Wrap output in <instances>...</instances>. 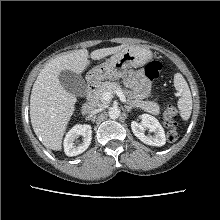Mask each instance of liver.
I'll list each match as a JSON object with an SVG mask.
<instances>
[{
    "label": "liver",
    "mask_w": 220,
    "mask_h": 220,
    "mask_svg": "<svg viewBox=\"0 0 220 220\" xmlns=\"http://www.w3.org/2000/svg\"><path fill=\"white\" fill-rule=\"evenodd\" d=\"M127 45L102 48L91 52L93 60H99L119 52ZM87 49H80L50 61L38 74L30 97V119L33 130L43 138L45 146L59 151L67 125L74 114L77 98L60 83L62 71L80 74L90 64Z\"/></svg>",
    "instance_id": "obj_1"
}]
</instances>
